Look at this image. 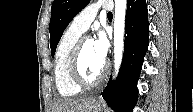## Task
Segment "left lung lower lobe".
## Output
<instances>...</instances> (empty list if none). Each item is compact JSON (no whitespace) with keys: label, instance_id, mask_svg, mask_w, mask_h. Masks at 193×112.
I'll use <instances>...</instances> for the list:
<instances>
[{"label":"left lung lower lobe","instance_id":"1","mask_svg":"<svg viewBox=\"0 0 193 112\" xmlns=\"http://www.w3.org/2000/svg\"><path fill=\"white\" fill-rule=\"evenodd\" d=\"M125 45L121 68L115 83L111 78L101 93L116 112H132L138 98L139 79L148 49L149 23L145 0H127Z\"/></svg>","mask_w":193,"mask_h":112}]
</instances>
